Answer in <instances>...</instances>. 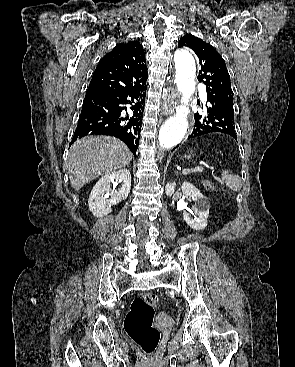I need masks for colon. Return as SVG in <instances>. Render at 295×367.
Wrapping results in <instances>:
<instances>
[{
    "label": "colon",
    "mask_w": 295,
    "mask_h": 367,
    "mask_svg": "<svg viewBox=\"0 0 295 367\" xmlns=\"http://www.w3.org/2000/svg\"><path fill=\"white\" fill-rule=\"evenodd\" d=\"M205 186L212 189L210 181H205ZM158 297L152 292L144 293L135 298L125 318V330L128 336L146 354H152L160 339V332L154 326L155 307Z\"/></svg>",
    "instance_id": "5ec220e1"
}]
</instances>
